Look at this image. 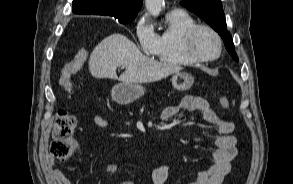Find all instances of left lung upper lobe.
Returning a JSON list of instances; mask_svg holds the SVG:
<instances>
[{"mask_svg":"<svg viewBox=\"0 0 293 184\" xmlns=\"http://www.w3.org/2000/svg\"><path fill=\"white\" fill-rule=\"evenodd\" d=\"M180 4L204 19L218 32L229 54L238 61L232 36L227 30L221 0H183Z\"/></svg>","mask_w":293,"mask_h":184,"instance_id":"obj_1","label":"left lung upper lobe"}]
</instances>
